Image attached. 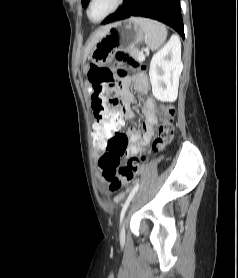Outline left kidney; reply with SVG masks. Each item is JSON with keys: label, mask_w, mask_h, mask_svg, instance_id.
<instances>
[{"label": "left kidney", "mask_w": 238, "mask_h": 278, "mask_svg": "<svg viewBox=\"0 0 238 278\" xmlns=\"http://www.w3.org/2000/svg\"><path fill=\"white\" fill-rule=\"evenodd\" d=\"M181 73V43L172 36L168 43L152 57L149 76L154 97L163 102H174L178 95Z\"/></svg>", "instance_id": "1"}]
</instances>
